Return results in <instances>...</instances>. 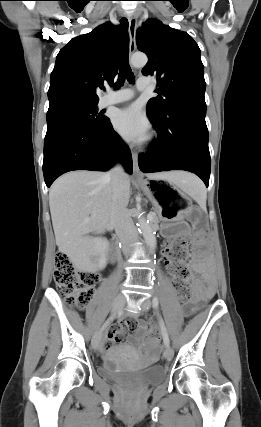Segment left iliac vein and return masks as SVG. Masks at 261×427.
Listing matches in <instances>:
<instances>
[{
  "label": "left iliac vein",
  "instance_id": "4c4485c4",
  "mask_svg": "<svg viewBox=\"0 0 261 427\" xmlns=\"http://www.w3.org/2000/svg\"><path fill=\"white\" fill-rule=\"evenodd\" d=\"M141 309L142 311H147L150 306H151V301L150 299H145L140 303ZM174 355V351L170 346H167L165 351H164V357L168 360L172 359Z\"/></svg>",
  "mask_w": 261,
  "mask_h": 427
}]
</instances>
